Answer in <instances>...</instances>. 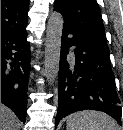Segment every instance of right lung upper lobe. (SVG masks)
<instances>
[{
  "instance_id": "cb5924a9",
  "label": "right lung upper lobe",
  "mask_w": 123,
  "mask_h": 130,
  "mask_svg": "<svg viewBox=\"0 0 123 130\" xmlns=\"http://www.w3.org/2000/svg\"><path fill=\"white\" fill-rule=\"evenodd\" d=\"M29 0H1V33L26 28Z\"/></svg>"
}]
</instances>
